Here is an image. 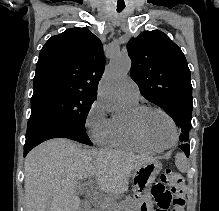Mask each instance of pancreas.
Segmentation results:
<instances>
[{
    "instance_id": "cf45deb5",
    "label": "pancreas",
    "mask_w": 219,
    "mask_h": 211,
    "mask_svg": "<svg viewBox=\"0 0 219 211\" xmlns=\"http://www.w3.org/2000/svg\"><path fill=\"white\" fill-rule=\"evenodd\" d=\"M104 211H136L135 200H104Z\"/></svg>"
}]
</instances>
